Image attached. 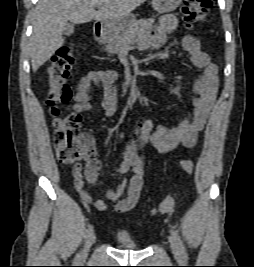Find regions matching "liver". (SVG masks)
Instances as JSON below:
<instances>
[{"label":"liver","mask_w":254,"mask_h":267,"mask_svg":"<svg viewBox=\"0 0 254 267\" xmlns=\"http://www.w3.org/2000/svg\"><path fill=\"white\" fill-rule=\"evenodd\" d=\"M146 0H39L33 15L30 37L32 70L36 72L64 44L68 21L83 24L91 20H113L129 15ZM100 4L98 11L95 10Z\"/></svg>","instance_id":"6515ba94"}]
</instances>
